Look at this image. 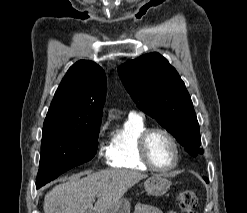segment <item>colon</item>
<instances>
[{"instance_id": "5ec220e1", "label": "colon", "mask_w": 247, "mask_h": 213, "mask_svg": "<svg viewBox=\"0 0 247 213\" xmlns=\"http://www.w3.org/2000/svg\"><path fill=\"white\" fill-rule=\"evenodd\" d=\"M178 207L186 213H195L197 197L192 190H181L177 196Z\"/></svg>"}]
</instances>
